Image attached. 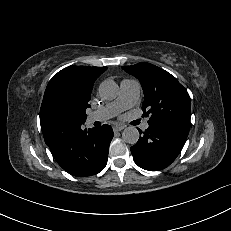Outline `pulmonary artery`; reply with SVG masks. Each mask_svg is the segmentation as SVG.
I'll list each match as a JSON object with an SVG mask.
<instances>
[{"label": "pulmonary artery", "instance_id": "obj_1", "mask_svg": "<svg viewBox=\"0 0 231 231\" xmlns=\"http://www.w3.org/2000/svg\"><path fill=\"white\" fill-rule=\"evenodd\" d=\"M140 83L134 79H124L120 82V92L118 97L105 106L91 112L87 116V123L96 121H106L113 118L120 112L133 107L139 100ZM149 123L142 125L144 130L148 129Z\"/></svg>", "mask_w": 231, "mask_h": 231}]
</instances>
